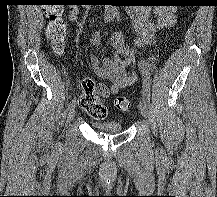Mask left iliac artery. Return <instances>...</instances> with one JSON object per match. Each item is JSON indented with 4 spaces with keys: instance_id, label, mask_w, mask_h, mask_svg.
<instances>
[{
    "instance_id": "44dca946",
    "label": "left iliac artery",
    "mask_w": 217,
    "mask_h": 197,
    "mask_svg": "<svg viewBox=\"0 0 217 197\" xmlns=\"http://www.w3.org/2000/svg\"><path fill=\"white\" fill-rule=\"evenodd\" d=\"M138 66L143 76L142 97L148 104L150 102V78L152 66L145 60L139 61Z\"/></svg>"
}]
</instances>
